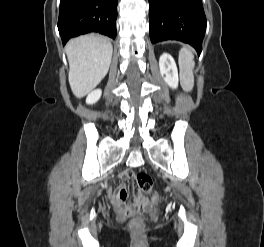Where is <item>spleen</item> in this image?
<instances>
[{"label":"spleen","instance_id":"spleen-1","mask_svg":"<svg viewBox=\"0 0 264 247\" xmlns=\"http://www.w3.org/2000/svg\"><path fill=\"white\" fill-rule=\"evenodd\" d=\"M179 68L181 85L185 91H191L194 86L193 69L195 66L194 55L188 47H183L179 52Z\"/></svg>","mask_w":264,"mask_h":247}]
</instances>
